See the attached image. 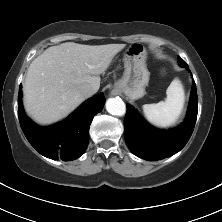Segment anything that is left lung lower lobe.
Listing matches in <instances>:
<instances>
[{"mask_svg": "<svg viewBox=\"0 0 222 222\" xmlns=\"http://www.w3.org/2000/svg\"><path fill=\"white\" fill-rule=\"evenodd\" d=\"M197 111L198 97L194 80L187 116L175 129L160 130L152 127L131 105L127 104L124 122L126 144L131 152L145 160L155 161L172 156L188 142L196 123Z\"/></svg>", "mask_w": 222, "mask_h": 222, "instance_id": "0a47b994", "label": "left lung lower lobe"}]
</instances>
